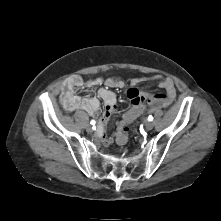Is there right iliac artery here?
Segmentation results:
<instances>
[{
  "mask_svg": "<svg viewBox=\"0 0 221 221\" xmlns=\"http://www.w3.org/2000/svg\"><path fill=\"white\" fill-rule=\"evenodd\" d=\"M90 124L95 125L96 124L95 120H91Z\"/></svg>",
  "mask_w": 221,
  "mask_h": 221,
  "instance_id": "82829eb1",
  "label": "right iliac artery"
}]
</instances>
